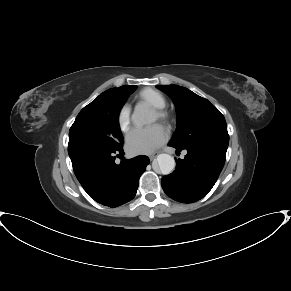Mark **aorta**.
Masks as SVG:
<instances>
[{
    "label": "aorta",
    "instance_id": "762f6f07",
    "mask_svg": "<svg viewBox=\"0 0 291 291\" xmlns=\"http://www.w3.org/2000/svg\"><path fill=\"white\" fill-rule=\"evenodd\" d=\"M131 120L136 126H143L150 123L152 121L150 109L145 105H137L131 116ZM156 162L163 175L170 174L175 168V160L169 154H159Z\"/></svg>",
    "mask_w": 291,
    "mask_h": 291
}]
</instances>
